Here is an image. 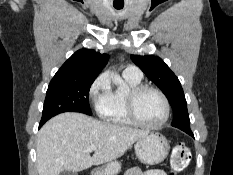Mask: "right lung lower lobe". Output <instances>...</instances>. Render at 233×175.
<instances>
[{"instance_id": "1", "label": "right lung lower lobe", "mask_w": 233, "mask_h": 175, "mask_svg": "<svg viewBox=\"0 0 233 175\" xmlns=\"http://www.w3.org/2000/svg\"><path fill=\"white\" fill-rule=\"evenodd\" d=\"M44 123H40L39 128L43 125Z\"/></svg>"}]
</instances>
